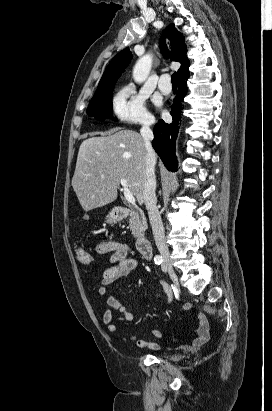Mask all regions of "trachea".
Returning <instances> with one entry per match:
<instances>
[{"label": "trachea", "instance_id": "1", "mask_svg": "<svg viewBox=\"0 0 272 411\" xmlns=\"http://www.w3.org/2000/svg\"><path fill=\"white\" fill-rule=\"evenodd\" d=\"M171 82H172V85H173V86H177L178 76H177V73H176V72H174V73L172 74V76H171Z\"/></svg>", "mask_w": 272, "mask_h": 411}]
</instances>
